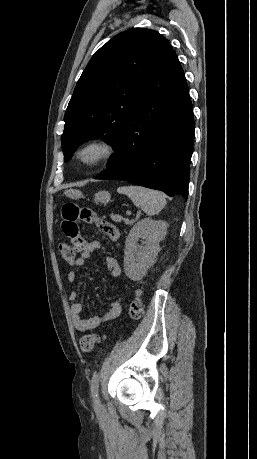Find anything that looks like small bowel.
Here are the masks:
<instances>
[{
  "label": "small bowel",
  "mask_w": 257,
  "mask_h": 459,
  "mask_svg": "<svg viewBox=\"0 0 257 459\" xmlns=\"http://www.w3.org/2000/svg\"><path fill=\"white\" fill-rule=\"evenodd\" d=\"M59 220L63 222L61 229L65 236L68 237L71 251H77L78 257L73 262L76 267H83L90 256L101 247L98 241L88 242L87 235L84 232H80V222H86L88 226L95 225L112 241H117L120 238L119 230L114 225L100 219L96 213V208H88V205H77L75 200H66L64 205H61ZM104 262L113 277L120 276L121 269L115 257L106 256ZM77 280L78 274L76 271L72 270L67 273V281L69 283H75ZM77 299L78 291L71 290L69 300L72 301L70 305L72 323L74 328L81 332L94 330L114 321L121 315L123 310V297L119 296L108 304L107 309L102 314L85 319L82 316V304L77 302Z\"/></svg>",
  "instance_id": "obj_1"
}]
</instances>
